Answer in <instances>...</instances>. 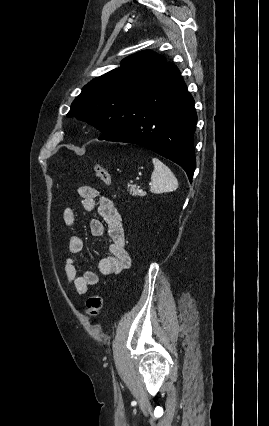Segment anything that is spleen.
<instances>
[{"label":"spleen","mask_w":269,"mask_h":426,"mask_svg":"<svg viewBox=\"0 0 269 426\" xmlns=\"http://www.w3.org/2000/svg\"><path fill=\"white\" fill-rule=\"evenodd\" d=\"M154 171L151 175L150 191L154 194L171 192L178 188V181L172 171L159 159H152Z\"/></svg>","instance_id":"3e777b00"}]
</instances>
